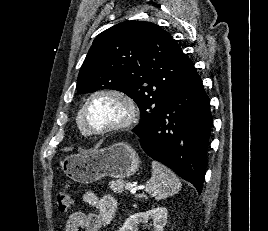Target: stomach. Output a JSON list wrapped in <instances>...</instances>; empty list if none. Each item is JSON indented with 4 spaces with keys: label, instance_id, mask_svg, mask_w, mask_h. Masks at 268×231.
Instances as JSON below:
<instances>
[{
    "label": "stomach",
    "instance_id": "obj_1",
    "mask_svg": "<svg viewBox=\"0 0 268 231\" xmlns=\"http://www.w3.org/2000/svg\"><path fill=\"white\" fill-rule=\"evenodd\" d=\"M140 160L135 150L119 142L106 148L66 156L60 166L70 179L88 184L103 177L124 179L134 175Z\"/></svg>",
    "mask_w": 268,
    "mask_h": 231
}]
</instances>
